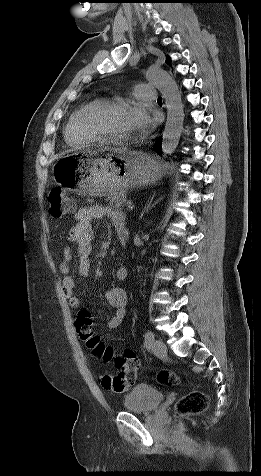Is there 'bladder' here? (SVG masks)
<instances>
[{"instance_id":"obj_1","label":"bladder","mask_w":261,"mask_h":476,"mask_svg":"<svg viewBox=\"0 0 261 476\" xmlns=\"http://www.w3.org/2000/svg\"><path fill=\"white\" fill-rule=\"evenodd\" d=\"M163 399V393L157 388L138 384L124 396L123 408L129 412L151 413L159 407Z\"/></svg>"}]
</instances>
